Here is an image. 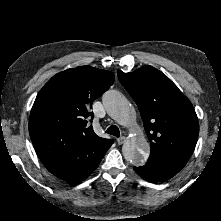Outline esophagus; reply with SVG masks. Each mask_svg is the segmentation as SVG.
Returning a JSON list of instances; mask_svg holds the SVG:
<instances>
[{
  "label": "esophagus",
  "instance_id": "1",
  "mask_svg": "<svg viewBox=\"0 0 221 221\" xmlns=\"http://www.w3.org/2000/svg\"><path fill=\"white\" fill-rule=\"evenodd\" d=\"M126 138L124 136H121L119 138H117V143L119 145L123 144L125 142Z\"/></svg>",
  "mask_w": 221,
  "mask_h": 221
}]
</instances>
